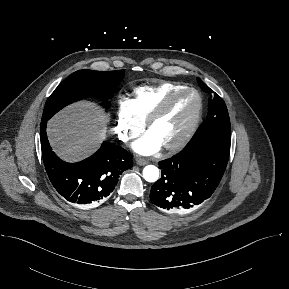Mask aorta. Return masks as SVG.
Listing matches in <instances>:
<instances>
[{
    "mask_svg": "<svg viewBox=\"0 0 289 289\" xmlns=\"http://www.w3.org/2000/svg\"><path fill=\"white\" fill-rule=\"evenodd\" d=\"M143 177L147 182H155L159 178V169L154 165H147L143 169Z\"/></svg>",
    "mask_w": 289,
    "mask_h": 289,
    "instance_id": "aorta-1",
    "label": "aorta"
}]
</instances>
